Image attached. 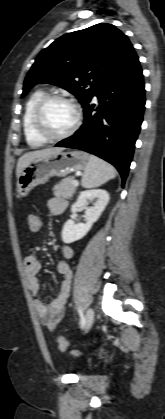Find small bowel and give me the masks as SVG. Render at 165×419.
Listing matches in <instances>:
<instances>
[{
    "instance_id": "c3829d8e",
    "label": "small bowel",
    "mask_w": 165,
    "mask_h": 419,
    "mask_svg": "<svg viewBox=\"0 0 165 419\" xmlns=\"http://www.w3.org/2000/svg\"><path fill=\"white\" fill-rule=\"evenodd\" d=\"M66 206V201L61 198H51L46 203V208L52 215L62 214L65 211ZM60 255L62 259L56 265L57 272L62 276L58 294L49 302H44L40 299L34 300V307L42 324L50 330H55L57 325L64 319L65 305L69 297L71 280L73 277L68 262L74 256L72 247L63 244L60 248ZM24 271L29 291L31 294L37 295L41 288L39 279L41 265L35 256L28 255L25 257Z\"/></svg>"
}]
</instances>
